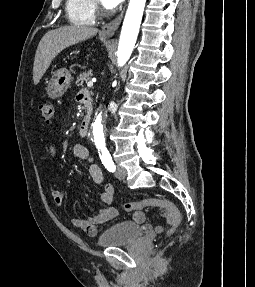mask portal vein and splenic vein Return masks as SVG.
I'll use <instances>...</instances> for the list:
<instances>
[{
	"label": "portal vein and splenic vein",
	"mask_w": 255,
	"mask_h": 287,
	"mask_svg": "<svg viewBox=\"0 0 255 287\" xmlns=\"http://www.w3.org/2000/svg\"><path fill=\"white\" fill-rule=\"evenodd\" d=\"M94 82H96V78H93L92 82H88L87 84L88 88H92Z\"/></svg>",
	"instance_id": "portal-vein-and-splenic-vein-1"
}]
</instances>
